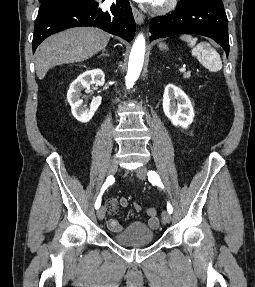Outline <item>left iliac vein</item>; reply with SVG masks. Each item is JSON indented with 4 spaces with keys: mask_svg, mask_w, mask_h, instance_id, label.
I'll list each match as a JSON object with an SVG mask.
<instances>
[{
    "mask_svg": "<svg viewBox=\"0 0 255 287\" xmlns=\"http://www.w3.org/2000/svg\"><path fill=\"white\" fill-rule=\"evenodd\" d=\"M136 175L138 178L142 179V180H145L147 179V169L146 167L144 166H141L139 167L137 170H136ZM162 220L164 223H170L171 221V215L168 211H163L162 212Z\"/></svg>",
    "mask_w": 255,
    "mask_h": 287,
    "instance_id": "obj_1",
    "label": "left iliac vein"
}]
</instances>
